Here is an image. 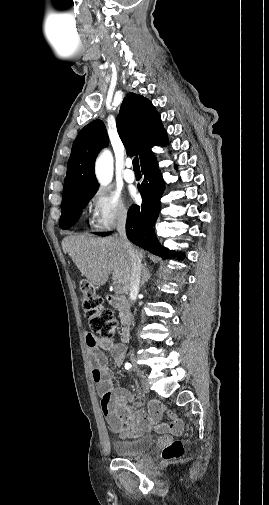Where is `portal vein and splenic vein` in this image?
I'll return each instance as SVG.
<instances>
[{"mask_svg":"<svg viewBox=\"0 0 269 505\" xmlns=\"http://www.w3.org/2000/svg\"><path fill=\"white\" fill-rule=\"evenodd\" d=\"M116 293H121L122 292V287L120 285H116L114 287Z\"/></svg>","mask_w":269,"mask_h":505,"instance_id":"18ae733b","label":"portal vein and splenic vein"}]
</instances>
